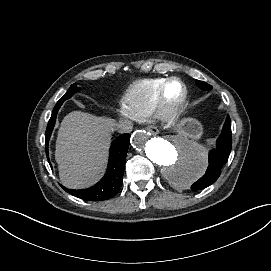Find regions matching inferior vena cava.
<instances>
[{
    "mask_svg": "<svg viewBox=\"0 0 271 271\" xmlns=\"http://www.w3.org/2000/svg\"><path fill=\"white\" fill-rule=\"evenodd\" d=\"M116 131L120 134L130 133L132 131V122L130 120H124L118 122L116 125Z\"/></svg>",
    "mask_w": 271,
    "mask_h": 271,
    "instance_id": "inferior-vena-cava-1",
    "label": "inferior vena cava"
}]
</instances>
